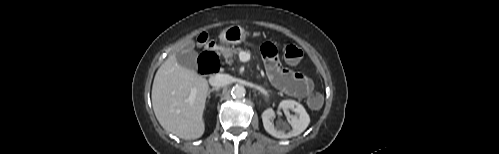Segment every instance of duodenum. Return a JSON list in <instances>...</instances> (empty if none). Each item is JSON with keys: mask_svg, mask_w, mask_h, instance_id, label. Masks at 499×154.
I'll return each mask as SVG.
<instances>
[{"mask_svg": "<svg viewBox=\"0 0 499 154\" xmlns=\"http://www.w3.org/2000/svg\"><path fill=\"white\" fill-rule=\"evenodd\" d=\"M207 58H208V56H203L199 59L198 66H199L200 72L203 74H215V73H217L219 70H212L208 67Z\"/></svg>", "mask_w": 499, "mask_h": 154, "instance_id": "410a0bca", "label": "duodenum"}]
</instances>
